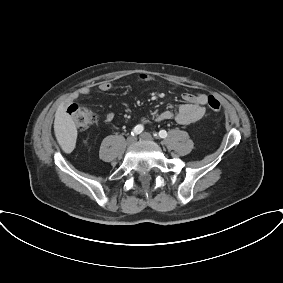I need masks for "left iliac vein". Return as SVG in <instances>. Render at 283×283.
Segmentation results:
<instances>
[{
  "mask_svg": "<svg viewBox=\"0 0 283 283\" xmlns=\"http://www.w3.org/2000/svg\"><path fill=\"white\" fill-rule=\"evenodd\" d=\"M140 139L141 140H144V141H153V137L150 133L148 132H143L141 135H140Z\"/></svg>",
  "mask_w": 283,
  "mask_h": 283,
  "instance_id": "left-iliac-vein-1",
  "label": "left iliac vein"
}]
</instances>
